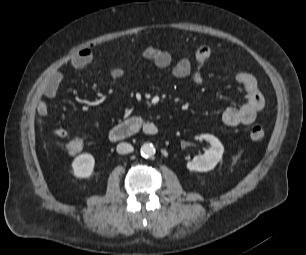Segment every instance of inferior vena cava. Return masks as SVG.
<instances>
[{"label": "inferior vena cava", "instance_id": "inferior-vena-cava-1", "mask_svg": "<svg viewBox=\"0 0 306 255\" xmlns=\"http://www.w3.org/2000/svg\"><path fill=\"white\" fill-rule=\"evenodd\" d=\"M116 150L119 154H127L133 151V147L129 143H119Z\"/></svg>", "mask_w": 306, "mask_h": 255}]
</instances>
